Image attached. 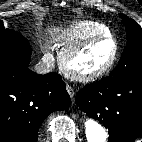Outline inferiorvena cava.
<instances>
[{"mask_svg":"<svg viewBox=\"0 0 142 142\" xmlns=\"http://www.w3.org/2000/svg\"><path fill=\"white\" fill-rule=\"evenodd\" d=\"M55 66V60L53 58H44L40 60L34 67L38 74H46L53 70Z\"/></svg>","mask_w":142,"mask_h":142,"instance_id":"inferior-vena-cava-1","label":"inferior vena cava"}]
</instances>
